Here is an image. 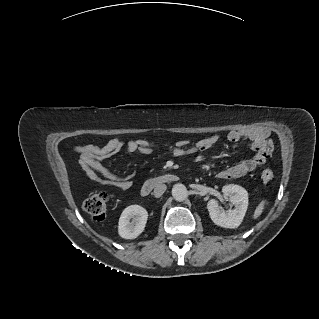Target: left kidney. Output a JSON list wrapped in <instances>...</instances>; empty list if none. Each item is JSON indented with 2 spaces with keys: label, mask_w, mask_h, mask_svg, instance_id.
Listing matches in <instances>:
<instances>
[{
  "label": "left kidney",
  "mask_w": 319,
  "mask_h": 319,
  "mask_svg": "<svg viewBox=\"0 0 319 319\" xmlns=\"http://www.w3.org/2000/svg\"><path fill=\"white\" fill-rule=\"evenodd\" d=\"M222 192L224 197H229L235 208L225 211L219 206L217 200L211 199L207 203L210 218L218 226L237 228L243 221L248 208V193L243 187L234 184L223 186Z\"/></svg>",
  "instance_id": "5707ae66"
}]
</instances>
